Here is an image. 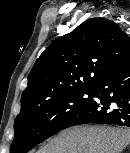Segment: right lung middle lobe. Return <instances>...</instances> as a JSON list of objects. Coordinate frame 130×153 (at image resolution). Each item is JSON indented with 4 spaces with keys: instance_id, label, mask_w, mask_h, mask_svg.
Here are the masks:
<instances>
[{
    "instance_id": "dd1d6c3e",
    "label": "right lung middle lobe",
    "mask_w": 130,
    "mask_h": 153,
    "mask_svg": "<svg viewBox=\"0 0 130 153\" xmlns=\"http://www.w3.org/2000/svg\"><path fill=\"white\" fill-rule=\"evenodd\" d=\"M91 93H69L19 114L14 121L15 136L10 153H27L62 130L67 121L91 100Z\"/></svg>"
}]
</instances>
